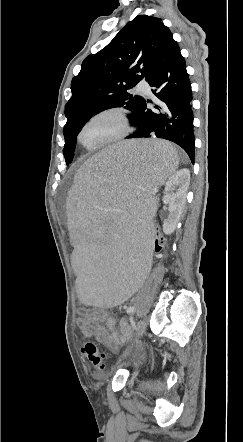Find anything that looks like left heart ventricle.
<instances>
[{
  "mask_svg": "<svg viewBox=\"0 0 243 442\" xmlns=\"http://www.w3.org/2000/svg\"><path fill=\"white\" fill-rule=\"evenodd\" d=\"M120 130V120L113 115H106L90 122L84 128L81 138L84 144L92 146L113 137Z\"/></svg>",
  "mask_w": 243,
  "mask_h": 442,
  "instance_id": "b2bd125f",
  "label": "left heart ventricle"
}]
</instances>
